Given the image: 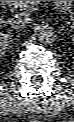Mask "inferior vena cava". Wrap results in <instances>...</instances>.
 Wrapping results in <instances>:
<instances>
[{"label": "inferior vena cava", "instance_id": "1", "mask_svg": "<svg viewBox=\"0 0 74 122\" xmlns=\"http://www.w3.org/2000/svg\"><path fill=\"white\" fill-rule=\"evenodd\" d=\"M14 22L22 26L30 25L33 22L32 14L27 10H20L14 15Z\"/></svg>", "mask_w": 74, "mask_h": 122}]
</instances>
